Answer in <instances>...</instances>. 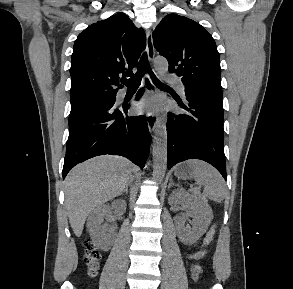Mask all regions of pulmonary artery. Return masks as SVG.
I'll list each match as a JSON object with an SVG mask.
<instances>
[{
    "label": "pulmonary artery",
    "instance_id": "e3ab8cb5",
    "mask_svg": "<svg viewBox=\"0 0 293 289\" xmlns=\"http://www.w3.org/2000/svg\"><path fill=\"white\" fill-rule=\"evenodd\" d=\"M168 81H170V82H172V83H174L176 85L177 90L179 91V93L181 95L184 94V86H183V84H182V82L180 80L174 79V78H168Z\"/></svg>",
    "mask_w": 293,
    "mask_h": 289
}]
</instances>
